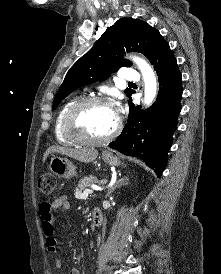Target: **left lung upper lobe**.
Masks as SVG:
<instances>
[{"label":"left lung upper lobe","mask_w":221,"mask_h":274,"mask_svg":"<svg viewBox=\"0 0 221 274\" xmlns=\"http://www.w3.org/2000/svg\"><path fill=\"white\" fill-rule=\"evenodd\" d=\"M167 41L158 30L145 21L133 18H121L107 28L95 45L79 58L67 72L60 86L52 109L77 88L101 80H106L111 72L119 68L130 67L132 63L123 58L125 50L141 52L148 59ZM133 90L126 89L131 97Z\"/></svg>","instance_id":"obj_1"}]
</instances>
